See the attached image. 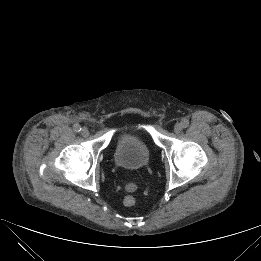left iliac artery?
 <instances>
[{
	"instance_id": "obj_1",
	"label": "left iliac artery",
	"mask_w": 261,
	"mask_h": 261,
	"mask_svg": "<svg viewBox=\"0 0 261 261\" xmlns=\"http://www.w3.org/2000/svg\"><path fill=\"white\" fill-rule=\"evenodd\" d=\"M181 126H182L183 128H187V127L189 126V120L183 119V120L181 121Z\"/></svg>"
}]
</instances>
